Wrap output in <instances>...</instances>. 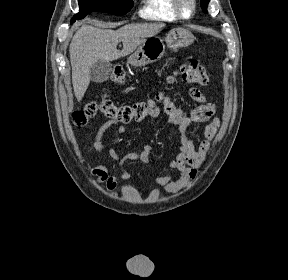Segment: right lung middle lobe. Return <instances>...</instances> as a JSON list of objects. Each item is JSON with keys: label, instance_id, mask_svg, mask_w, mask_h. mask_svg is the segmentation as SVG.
<instances>
[{"label": "right lung middle lobe", "instance_id": "dd1d6c3e", "mask_svg": "<svg viewBox=\"0 0 288 280\" xmlns=\"http://www.w3.org/2000/svg\"><path fill=\"white\" fill-rule=\"evenodd\" d=\"M80 11L71 20L84 18L91 12L100 11L115 15H124L133 6L132 0H79Z\"/></svg>", "mask_w": 288, "mask_h": 280}]
</instances>
